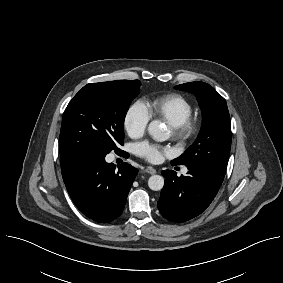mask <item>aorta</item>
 I'll return each mask as SVG.
<instances>
[{
	"instance_id": "1",
	"label": "aorta",
	"mask_w": 283,
	"mask_h": 283,
	"mask_svg": "<svg viewBox=\"0 0 283 283\" xmlns=\"http://www.w3.org/2000/svg\"><path fill=\"white\" fill-rule=\"evenodd\" d=\"M147 130L149 135L156 141L162 142L168 139V133L165 127L158 120L150 122ZM148 186L153 191H159L164 186V178L160 175H152L148 179Z\"/></svg>"
}]
</instances>
